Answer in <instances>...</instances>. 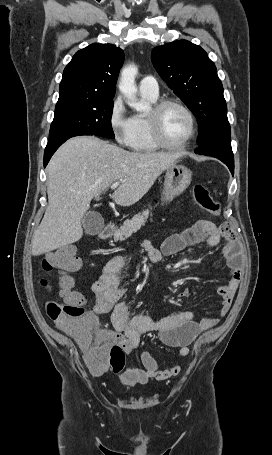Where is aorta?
Returning a JSON list of instances; mask_svg holds the SVG:
<instances>
[{
	"instance_id": "1",
	"label": "aorta",
	"mask_w": 272,
	"mask_h": 455,
	"mask_svg": "<svg viewBox=\"0 0 272 455\" xmlns=\"http://www.w3.org/2000/svg\"><path fill=\"white\" fill-rule=\"evenodd\" d=\"M137 73L138 68L134 64L124 67L121 72L119 90L127 99V103L130 107L134 108L138 112H143L147 109V106L137 102L136 99L137 87L135 84V78Z\"/></svg>"
}]
</instances>
